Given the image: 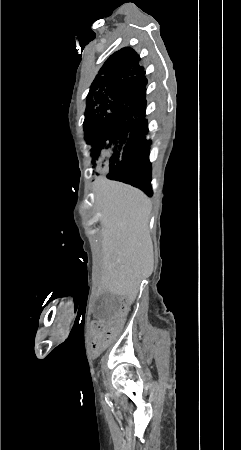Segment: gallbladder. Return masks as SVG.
<instances>
[{"instance_id": "bac80fb5", "label": "gallbladder", "mask_w": 241, "mask_h": 450, "mask_svg": "<svg viewBox=\"0 0 241 450\" xmlns=\"http://www.w3.org/2000/svg\"><path fill=\"white\" fill-rule=\"evenodd\" d=\"M117 303L113 301L112 296H98L95 303V312L93 318L97 322L103 320H113L116 314Z\"/></svg>"}]
</instances>
